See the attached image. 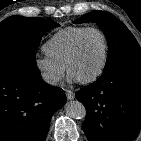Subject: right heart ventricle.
<instances>
[{
	"mask_svg": "<svg viewBox=\"0 0 141 141\" xmlns=\"http://www.w3.org/2000/svg\"><path fill=\"white\" fill-rule=\"evenodd\" d=\"M87 28L69 26L57 31L43 45L44 52L55 62L65 66L76 39Z\"/></svg>",
	"mask_w": 141,
	"mask_h": 141,
	"instance_id": "1",
	"label": "right heart ventricle"
}]
</instances>
